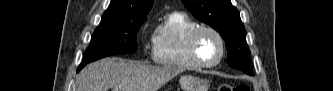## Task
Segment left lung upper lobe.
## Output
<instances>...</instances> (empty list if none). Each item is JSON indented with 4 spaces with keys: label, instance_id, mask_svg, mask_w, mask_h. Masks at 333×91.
Returning a JSON list of instances; mask_svg holds the SVG:
<instances>
[{
    "label": "left lung upper lobe",
    "instance_id": "obj_1",
    "mask_svg": "<svg viewBox=\"0 0 333 91\" xmlns=\"http://www.w3.org/2000/svg\"><path fill=\"white\" fill-rule=\"evenodd\" d=\"M198 20L217 30L226 41L228 65L252 75L246 31L238 10L230 0H182Z\"/></svg>",
    "mask_w": 333,
    "mask_h": 91
}]
</instances>
